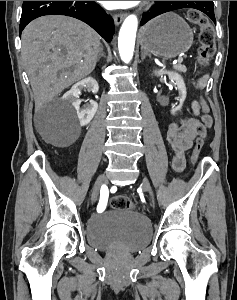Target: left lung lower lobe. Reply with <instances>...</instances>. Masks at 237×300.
Returning <instances> with one entry per match:
<instances>
[{
	"label": "left lung lower lobe",
	"instance_id": "left-lung-lower-lobe-1",
	"mask_svg": "<svg viewBox=\"0 0 237 300\" xmlns=\"http://www.w3.org/2000/svg\"><path fill=\"white\" fill-rule=\"evenodd\" d=\"M169 2L170 5L175 8L174 10L181 9V8H196L204 12L205 14H207L212 19V21L216 24L214 9H213V1H169Z\"/></svg>",
	"mask_w": 237,
	"mask_h": 300
}]
</instances>
